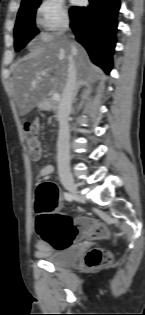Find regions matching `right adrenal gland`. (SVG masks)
Segmentation results:
<instances>
[{"mask_svg": "<svg viewBox=\"0 0 145 315\" xmlns=\"http://www.w3.org/2000/svg\"><path fill=\"white\" fill-rule=\"evenodd\" d=\"M83 85V82L81 80H78L77 82V88H76V91H75V96L77 95L80 87Z\"/></svg>", "mask_w": 145, "mask_h": 315, "instance_id": "obj_1", "label": "right adrenal gland"}]
</instances>
